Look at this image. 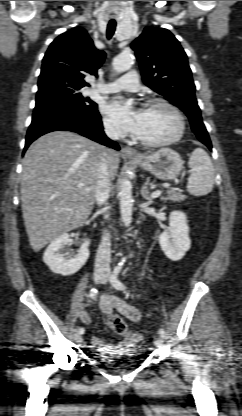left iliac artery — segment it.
Returning <instances> with one entry per match:
<instances>
[{
    "instance_id": "44dca946",
    "label": "left iliac artery",
    "mask_w": 242,
    "mask_h": 416,
    "mask_svg": "<svg viewBox=\"0 0 242 416\" xmlns=\"http://www.w3.org/2000/svg\"><path fill=\"white\" fill-rule=\"evenodd\" d=\"M121 268H122V265H119V266H117L115 269H114V271H113V273L111 274V276H110V281H111V283H112V285H113V287H115L116 289H118V290H124L125 289V286H124V284L118 279V275H119V273H120V271H121ZM159 334L162 336V337H164L165 335H166V332H165V330L164 329H160L159 330Z\"/></svg>"
}]
</instances>
